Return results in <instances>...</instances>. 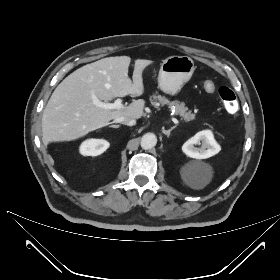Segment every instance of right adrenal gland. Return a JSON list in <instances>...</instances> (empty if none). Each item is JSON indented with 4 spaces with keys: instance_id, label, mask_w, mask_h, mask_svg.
Wrapping results in <instances>:
<instances>
[{
    "instance_id": "2a0ac1e0",
    "label": "right adrenal gland",
    "mask_w": 280,
    "mask_h": 280,
    "mask_svg": "<svg viewBox=\"0 0 280 280\" xmlns=\"http://www.w3.org/2000/svg\"><path fill=\"white\" fill-rule=\"evenodd\" d=\"M106 125H109L110 128H119L120 125H113L112 122L107 123Z\"/></svg>"
}]
</instances>
